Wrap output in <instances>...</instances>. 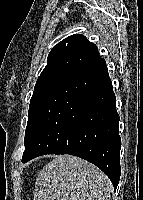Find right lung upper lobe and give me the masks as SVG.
Returning a JSON list of instances; mask_svg holds the SVG:
<instances>
[{
	"mask_svg": "<svg viewBox=\"0 0 143 200\" xmlns=\"http://www.w3.org/2000/svg\"><path fill=\"white\" fill-rule=\"evenodd\" d=\"M101 59L97 46L85 36L74 34L59 42L49 53L47 65L38 80L67 77Z\"/></svg>",
	"mask_w": 143,
	"mask_h": 200,
	"instance_id": "cb5924a9",
	"label": "right lung upper lobe"
}]
</instances>
